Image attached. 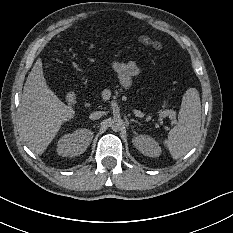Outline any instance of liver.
I'll return each mask as SVG.
<instances>
[{
    "label": "liver",
    "instance_id": "obj_1",
    "mask_svg": "<svg viewBox=\"0 0 233 233\" xmlns=\"http://www.w3.org/2000/svg\"><path fill=\"white\" fill-rule=\"evenodd\" d=\"M75 110L66 105L49 88L41 58L29 72L20 104V127L30 150L42 154L63 122L73 119Z\"/></svg>",
    "mask_w": 233,
    "mask_h": 233
}]
</instances>
